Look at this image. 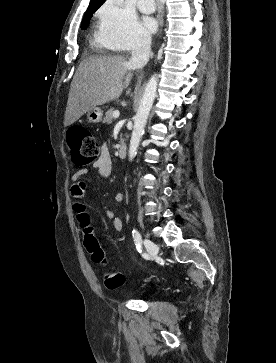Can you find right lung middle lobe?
I'll list each match as a JSON object with an SVG mask.
<instances>
[{
	"label": "right lung middle lobe",
	"mask_w": 276,
	"mask_h": 363,
	"mask_svg": "<svg viewBox=\"0 0 276 363\" xmlns=\"http://www.w3.org/2000/svg\"><path fill=\"white\" fill-rule=\"evenodd\" d=\"M97 9H98V6L97 5L88 7V9L85 12V15L83 17L82 23H81V28L82 29H86L87 28V26L89 24V21H90V19L92 17V14L95 13Z\"/></svg>",
	"instance_id": "1"
}]
</instances>
